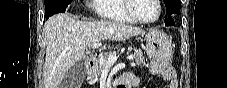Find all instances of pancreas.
<instances>
[{"label":"pancreas","instance_id":"1","mask_svg":"<svg viewBox=\"0 0 227 88\" xmlns=\"http://www.w3.org/2000/svg\"><path fill=\"white\" fill-rule=\"evenodd\" d=\"M133 51H134V53H133L134 58L133 59L136 61V63L139 64V65H145V57L143 55L142 50L141 49H134ZM107 65H108V57L100 58L99 64L96 67H93L89 71L90 79L94 80L95 78H97Z\"/></svg>","mask_w":227,"mask_h":88}]
</instances>
